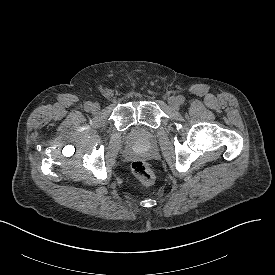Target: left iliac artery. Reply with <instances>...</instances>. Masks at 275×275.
Here are the masks:
<instances>
[{"label":"left iliac artery","instance_id":"left-iliac-artery-1","mask_svg":"<svg viewBox=\"0 0 275 275\" xmlns=\"http://www.w3.org/2000/svg\"><path fill=\"white\" fill-rule=\"evenodd\" d=\"M177 99H178L180 104H183L185 102V97L184 96L180 95V96L177 97Z\"/></svg>","mask_w":275,"mask_h":275}]
</instances>
